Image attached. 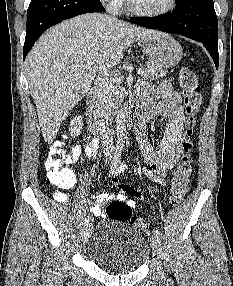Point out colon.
Instances as JSON below:
<instances>
[{"mask_svg":"<svg viewBox=\"0 0 233 286\" xmlns=\"http://www.w3.org/2000/svg\"><path fill=\"white\" fill-rule=\"evenodd\" d=\"M179 84L182 88L186 111V139L182 143L184 154L174 172L170 201L172 205L180 204L188 190L189 179L193 169L192 136L197 125V117L202 104L201 89L195 72L189 67H182L179 72ZM67 160L64 142H56L45 158V168L50 181L61 189H68L75 184L73 171L64 166ZM108 217L114 220L130 221L132 227L140 233H148V225L140 217L132 216L131 207L119 200H110L105 206Z\"/></svg>","mask_w":233,"mask_h":286,"instance_id":"obj_1","label":"colon"}]
</instances>
